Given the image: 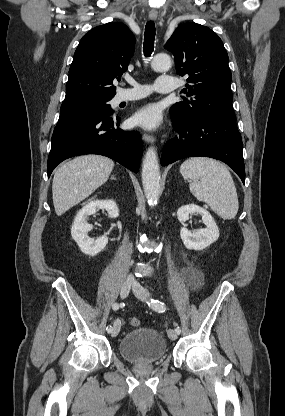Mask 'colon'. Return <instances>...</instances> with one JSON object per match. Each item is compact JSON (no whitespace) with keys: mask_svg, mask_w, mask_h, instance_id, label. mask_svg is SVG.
<instances>
[{"mask_svg":"<svg viewBox=\"0 0 285 416\" xmlns=\"http://www.w3.org/2000/svg\"><path fill=\"white\" fill-rule=\"evenodd\" d=\"M130 325H131L132 327H137V326H139V325H140V320H139V319H137V318H132V319L130 320Z\"/></svg>","mask_w":285,"mask_h":416,"instance_id":"1","label":"colon"}]
</instances>
